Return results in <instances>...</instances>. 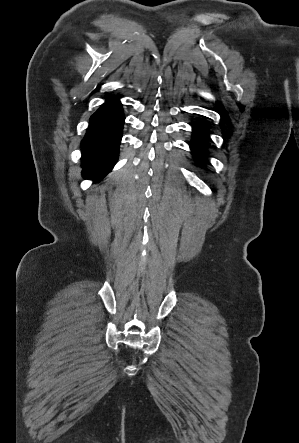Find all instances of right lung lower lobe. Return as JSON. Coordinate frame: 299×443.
Returning <instances> with one entry per match:
<instances>
[{"instance_id": "98d812e1", "label": "right lung lower lobe", "mask_w": 299, "mask_h": 443, "mask_svg": "<svg viewBox=\"0 0 299 443\" xmlns=\"http://www.w3.org/2000/svg\"><path fill=\"white\" fill-rule=\"evenodd\" d=\"M124 119L122 106L116 97L109 98L90 118L82 141V173L85 179L98 181L116 163Z\"/></svg>"}]
</instances>
